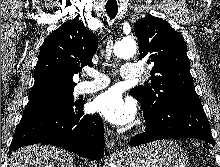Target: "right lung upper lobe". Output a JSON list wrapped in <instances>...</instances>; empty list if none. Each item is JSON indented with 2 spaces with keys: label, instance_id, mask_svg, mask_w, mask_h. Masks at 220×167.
<instances>
[{
  "label": "right lung upper lobe",
  "instance_id": "obj_1",
  "mask_svg": "<svg viewBox=\"0 0 220 167\" xmlns=\"http://www.w3.org/2000/svg\"><path fill=\"white\" fill-rule=\"evenodd\" d=\"M97 46V36L79 19L68 20L54 30L40 49L29 100L73 89V75L92 65Z\"/></svg>",
  "mask_w": 220,
  "mask_h": 167
}]
</instances>
